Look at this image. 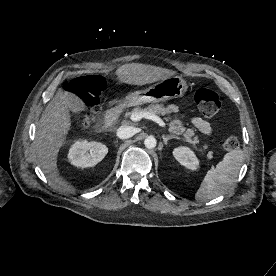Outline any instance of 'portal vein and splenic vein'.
<instances>
[{"mask_svg":"<svg viewBox=\"0 0 276 276\" xmlns=\"http://www.w3.org/2000/svg\"><path fill=\"white\" fill-rule=\"evenodd\" d=\"M142 118L152 120V121L158 123L161 127H166L165 122L160 117H158L157 115L150 113V112L142 111V112H138V113H133L130 116V119L134 122H138Z\"/></svg>","mask_w":276,"mask_h":276,"instance_id":"portal-vein-and-splenic-vein-1","label":"portal vein and splenic vein"}]
</instances>
